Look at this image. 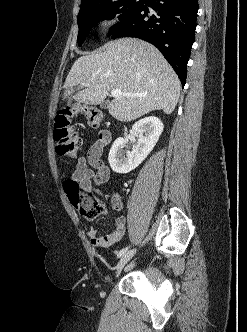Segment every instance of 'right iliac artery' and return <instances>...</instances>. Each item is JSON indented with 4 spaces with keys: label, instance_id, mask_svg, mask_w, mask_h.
Listing matches in <instances>:
<instances>
[{
    "label": "right iliac artery",
    "instance_id": "obj_1",
    "mask_svg": "<svg viewBox=\"0 0 247 332\" xmlns=\"http://www.w3.org/2000/svg\"><path fill=\"white\" fill-rule=\"evenodd\" d=\"M130 248V246L129 247H126V248H123L122 250H120L119 251V253H118V257H120V256H122L128 249Z\"/></svg>",
    "mask_w": 247,
    "mask_h": 332
}]
</instances>
